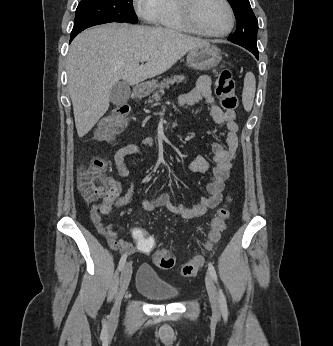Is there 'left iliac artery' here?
Returning a JSON list of instances; mask_svg holds the SVG:
<instances>
[{
  "label": "left iliac artery",
  "instance_id": "1",
  "mask_svg": "<svg viewBox=\"0 0 333 346\" xmlns=\"http://www.w3.org/2000/svg\"><path fill=\"white\" fill-rule=\"evenodd\" d=\"M208 270H209V273L212 277V279L218 283V277H217V273H216V270L213 266V264L211 262H209L208 264ZM219 302H220V308H221V311H222V315L224 318H227L228 316V309H227V303H226V298H225V295L222 291V289L219 288Z\"/></svg>",
  "mask_w": 333,
  "mask_h": 346
}]
</instances>
